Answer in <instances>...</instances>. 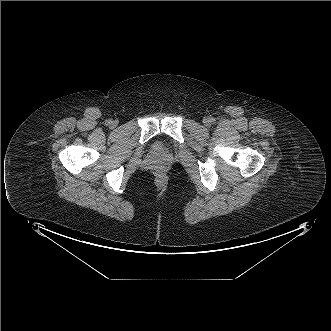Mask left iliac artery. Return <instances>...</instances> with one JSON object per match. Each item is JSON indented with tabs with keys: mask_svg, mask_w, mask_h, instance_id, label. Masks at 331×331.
I'll return each mask as SVG.
<instances>
[{
	"mask_svg": "<svg viewBox=\"0 0 331 331\" xmlns=\"http://www.w3.org/2000/svg\"><path fill=\"white\" fill-rule=\"evenodd\" d=\"M214 121V119L213 118H211V122H213Z\"/></svg>",
	"mask_w": 331,
	"mask_h": 331,
	"instance_id": "obj_1",
	"label": "left iliac artery"
}]
</instances>
